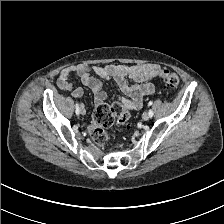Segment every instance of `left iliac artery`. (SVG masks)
<instances>
[{"instance_id":"1","label":"left iliac artery","mask_w":224,"mask_h":224,"mask_svg":"<svg viewBox=\"0 0 224 224\" xmlns=\"http://www.w3.org/2000/svg\"><path fill=\"white\" fill-rule=\"evenodd\" d=\"M148 105H152V102L150 101L148 103ZM149 116L152 117L153 116V111L150 109L149 112H148Z\"/></svg>"}]
</instances>
